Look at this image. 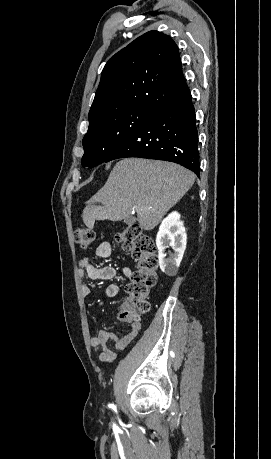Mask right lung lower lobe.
Listing matches in <instances>:
<instances>
[{"mask_svg": "<svg viewBox=\"0 0 271 459\" xmlns=\"http://www.w3.org/2000/svg\"><path fill=\"white\" fill-rule=\"evenodd\" d=\"M125 157L171 161L200 175L198 130L188 86L156 109L105 162Z\"/></svg>", "mask_w": 271, "mask_h": 459, "instance_id": "98d812e1", "label": "right lung lower lobe"}]
</instances>
